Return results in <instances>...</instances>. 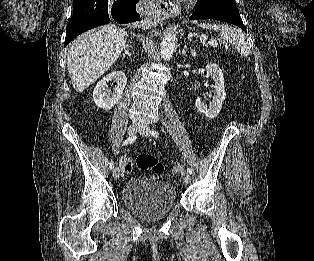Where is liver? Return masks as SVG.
I'll list each match as a JSON object with an SVG mask.
<instances>
[{
    "label": "liver",
    "instance_id": "1",
    "mask_svg": "<svg viewBox=\"0 0 314 261\" xmlns=\"http://www.w3.org/2000/svg\"><path fill=\"white\" fill-rule=\"evenodd\" d=\"M128 33L116 25H104L78 36L70 45L67 68L77 92L96 82L118 59Z\"/></svg>",
    "mask_w": 314,
    "mask_h": 261
}]
</instances>
